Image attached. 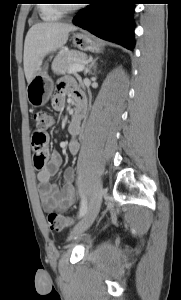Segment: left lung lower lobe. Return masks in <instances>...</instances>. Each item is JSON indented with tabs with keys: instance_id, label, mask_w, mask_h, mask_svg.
Returning a JSON list of instances; mask_svg holds the SVG:
<instances>
[{
	"instance_id": "obj_1",
	"label": "left lung lower lobe",
	"mask_w": 181,
	"mask_h": 300,
	"mask_svg": "<svg viewBox=\"0 0 181 300\" xmlns=\"http://www.w3.org/2000/svg\"><path fill=\"white\" fill-rule=\"evenodd\" d=\"M135 0H87L90 4L74 17L73 23L94 35L129 50L134 47L132 11Z\"/></svg>"
}]
</instances>
